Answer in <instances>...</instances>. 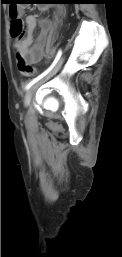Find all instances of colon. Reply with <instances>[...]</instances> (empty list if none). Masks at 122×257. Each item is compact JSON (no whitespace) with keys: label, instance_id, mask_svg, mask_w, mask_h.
Returning <instances> with one entry per match:
<instances>
[{"label":"colon","instance_id":"1","mask_svg":"<svg viewBox=\"0 0 122 257\" xmlns=\"http://www.w3.org/2000/svg\"><path fill=\"white\" fill-rule=\"evenodd\" d=\"M9 16L11 18V35L14 38H21L24 33V22L20 18L19 10H26V5H7ZM17 68L23 76H32L36 70L28 62H26L19 54H17Z\"/></svg>","mask_w":122,"mask_h":257}]
</instances>
